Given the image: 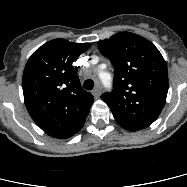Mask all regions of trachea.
Returning a JSON list of instances; mask_svg holds the SVG:
<instances>
[{"mask_svg": "<svg viewBox=\"0 0 187 187\" xmlns=\"http://www.w3.org/2000/svg\"><path fill=\"white\" fill-rule=\"evenodd\" d=\"M84 88L86 89V90H92L93 89V87H94V82H93V80H91V79H87L85 82H84Z\"/></svg>", "mask_w": 187, "mask_h": 187, "instance_id": "obj_1", "label": "trachea"}]
</instances>
